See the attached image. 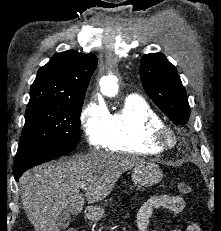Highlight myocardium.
I'll use <instances>...</instances> for the list:
<instances>
[{
  "label": "myocardium",
  "mask_w": 221,
  "mask_h": 231,
  "mask_svg": "<svg viewBox=\"0 0 221 231\" xmlns=\"http://www.w3.org/2000/svg\"><path fill=\"white\" fill-rule=\"evenodd\" d=\"M148 141L156 149L166 151L176 145L177 136L169 125L163 123L152 128Z\"/></svg>",
  "instance_id": "myocardium-1"
}]
</instances>
